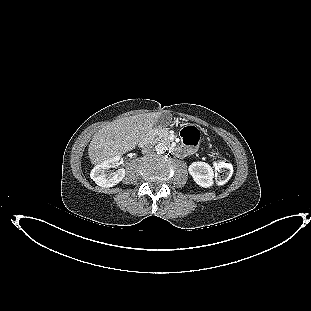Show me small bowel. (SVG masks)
I'll list each match as a JSON object with an SVG mask.
<instances>
[{
    "label": "small bowel",
    "mask_w": 311,
    "mask_h": 311,
    "mask_svg": "<svg viewBox=\"0 0 311 311\" xmlns=\"http://www.w3.org/2000/svg\"><path fill=\"white\" fill-rule=\"evenodd\" d=\"M193 129V131L194 132H198L195 128H192ZM184 143L186 144V145H188V143L186 142V141H184ZM184 150H185V148H184ZM186 151V150H185Z\"/></svg>",
    "instance_id": "small-bowel-1"
}]
</instances>
